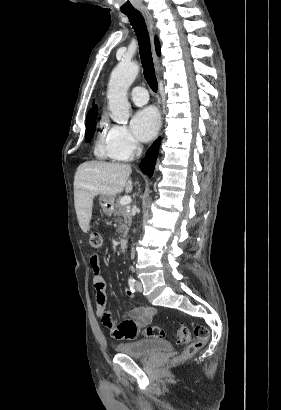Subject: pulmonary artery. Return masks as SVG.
I'll return each instance as SVG.
<instances>
[{
	"label": "pulmonary artery",
	"mask_w": 281,
	"mask_h": 410,
	"mask_svg": "<svg viewBox=\"0 0 281 410\" xmlns=\"http://www.w3.org/2000/svg\"><path fill=\"white\" fill-rule=\"evenodd\" d=\"M130 97L138 106L146 104L149 100L147 90L141 86L134 87L130 92Z\"/></svg>",
	"instance_id": "obj_1"
}]
</instances>
